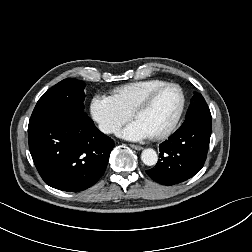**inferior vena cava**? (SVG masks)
Listing matches in <instances>:
<instances>
[{
	"label": "inferior vena cava",
	"instance_id": "1",
	"mask_svg": "<svg viewBox=\"0 0 252 252\" xmlns=\"http://www.w3.org/2000/svg\"><path fill=\"white\" fill-rule=\"evenodd\" d=\"M102 130L105 133H109L111 131V128L109 126H104Z\"/></svg>",
	"mask_w": 252,
	"mask_h": 252
}]
</instances>
